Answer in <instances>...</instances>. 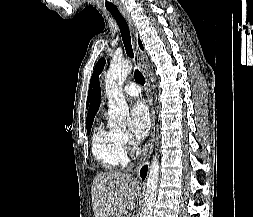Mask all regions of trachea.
<instances>
[{"label":"trachea","mask_w":253,"mask_h":217,"mask_svg":"<svg viewBox=\"0 0 253 217\" xmlns=\"http://www.w3.org/2000/svg\"><path fill=\"white\" fill-rule=\"evenodd\" d=\"M107 10L114 17V19L116 20V22L119 26L127 55L130 58H133L134 53H133L132 44H131V36H130L129 27H128V24H127L125 18L123 17V15L120 13V11L117 8H107ZM134 78L141 85L145 84V79L138 69L135 70V72H134Z\"/></svg>","instance_id":"obj_1"}]
</instances>
